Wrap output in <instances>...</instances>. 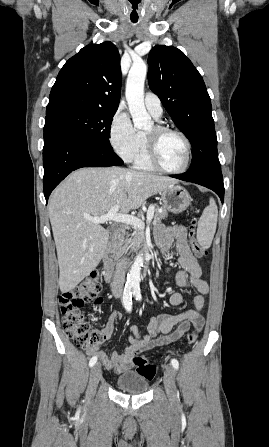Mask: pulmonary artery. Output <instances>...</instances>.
Wrapping results in <instances>:
<instances>
[{
	"mask_svg": "<svg viewBox=\"0 0 269 447\" xmlns=\"http://www.w3.org/2000/svg\"><path fill=\"white\" fill-rule=\"evenodd\" d=\"M144 105L156 119H159L161 117L163 112L161 100L156 94L147 92L144 97Z\"/></svg>",
	"mask_w": 269,
	"mask_h": 447,
	"instance_id": "1",
	"label": "pulmonary artery"
}]
</instances>
